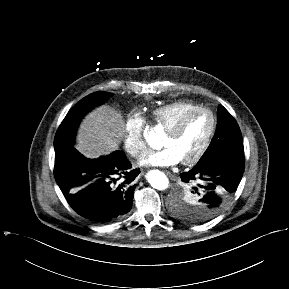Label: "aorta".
Here are the masks:
<instances>
[{
  "label": "aorta",
  "mask_w": 289,
  "mask_h": 289,
  "mask_svg": "<svg viewBox=\"0 0 289 289\" xmlns=\"http://www.w3.org/2000/svg\"><path fill=\"white\" fill-rule=\"evenodd\" d=\"M145 139L147 143L153 148H157L161 142L160 135L153 130L145 133ZM146 178L149 184L157 190H165L169 186V180L167 176L161 171L152 170L148 172Z\"/></svg>",
  "instance_id": "1"
}]
</instances>
